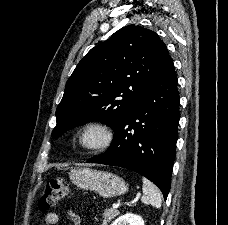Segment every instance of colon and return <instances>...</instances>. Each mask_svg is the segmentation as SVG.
Segmentation results:
<instances>
[{
    "mask_svg": "<svg viewBox=\"0 0 228 225\" xmlns=\"http://www.w3.org/2000/svg\"><path fill=\"white\" fill-rule=\"evenodd\" d=\"M68 188L61 178H51L46 182L44 193L39 199V206L47 209L59 201L67 194Z\"/></svg>",
    "mask_w": 228,
    "mask_h": 225,
    "instance_id": "1",
    "label": "colon"
}]
</instances>
